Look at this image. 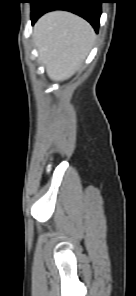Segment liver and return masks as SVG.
Instances as JSON below:
<instances>
[{
    "label": "liver",
    "instance_id": "obj_1",
    "mask_svg": "<svg viewBox=\"0 0 136 296\" xmlns=\"http://www.w3.org/2000/svg\"><path fill=\"white\" fill-rule=\"evenodd\" d=\"M94 39L91 25L66 11L46 13L37 21L33 31L38 61L54 81L67 80L81 67Z\"/></svg>",
    "mask_w": 136,
    "mask_h": 296
}]
</instances>
